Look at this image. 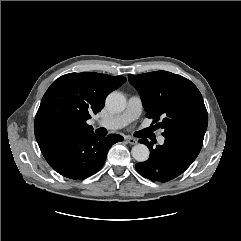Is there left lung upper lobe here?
<instances>
[{
    "instance_id": "5c2ea615",
    "label": "left lung upper lobe",
    "mask_w": 241,
    "mask_h": 241,
    "mask_svg": "<svg viewBox=\"0 0 241 241\" xmlns=\"http://www.w3.org/2000/svg\"><path fill=\"white\" fill-rule=\"evenodd\" d=\"M139 92L146 116L162 128L164 137L205 134L207 110L197 87L185 77L166 71L129 75Z\"/></svg>"
}]
</instances>
